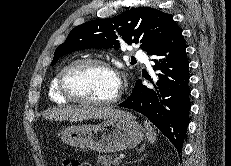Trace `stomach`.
<instances>
[{
    "mask_svg": "<svg viewBox=\"0 0 231 166\" xmlns=\"http://www.w3.org/2000/svg\"><path fill=\"white\" fill-rule=\"evenodd\" d=\"M144 128L130 113L96 125H73L63 129L61 140L73 147L99 153H113L136 147L144 138Z\"/></svg>",
    "mask_w": 231,
    "mask_h": 166,
    "instance_id": "stomach-1",
    "label": "stomach"
}]
</instances>
